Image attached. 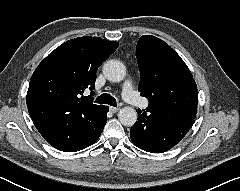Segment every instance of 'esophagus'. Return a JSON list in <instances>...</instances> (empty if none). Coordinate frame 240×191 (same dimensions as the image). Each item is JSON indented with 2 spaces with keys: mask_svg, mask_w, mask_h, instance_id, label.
Instances as JSON below:
<instances>
[{
  "mask_svg": "<svg viewBox=\"0 0 240 191\" xmlns=\"http://www.w3.org/2000/svg\"><path fill=\"white\" fill-rule=\"evenodd\" d=\"M119 109H120L119 107H110V111H111L112 113L118 112Z\"/></svg>",
  "mask_w": 240,
  "mask_h": 191,
  "instance_id": "1",
  "label": "esophagus"
}]
</instances>
